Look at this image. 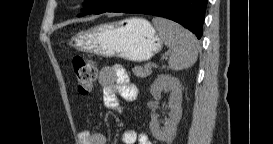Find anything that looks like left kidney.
<instances>
[{
  "instance_id": "1",
  "label": "left kidney",
  "mask_w": 273,
  "mask_h": 144,
  "mask_svg": "<svg viewBox=\"0 0 273 144\" xmlns=\"http://www.w3.org/2000/svg\"><path fill=\"white\" fill-rule=\"evenodd\" d=\"M162 91H171L169 99V119L165 122L164 127H160L157 116L151 113V121L149 123L150 131L153 137L162 142H169L176 134L177 125L182 115V85L180 81L171 75H158L151 86V95L157 97ZM147 106L153 109V103L150 101Z\"/></svg>"
}]
</instances>
